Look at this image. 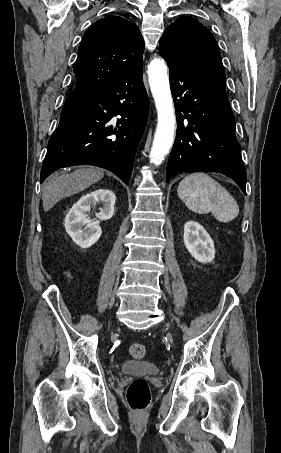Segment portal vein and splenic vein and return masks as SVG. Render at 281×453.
<instances>
[{
  "mask_svg": "<svg viewBox=\"0 0 281 453\" xmlns=\"http://www.w3.org/2000/svg\"><path fill=\"white\" fill-rule=\"evenodd\" d=\"M207 214L209 213L208 211L206 212ZM210 215H215V212H210Z\"/></svg>",
  "mask_w": 281,
  "mask_h": 453,
  "instance_id": "obj_1",
  "label": "portal vein and splenic vein"
}]
</instances>
